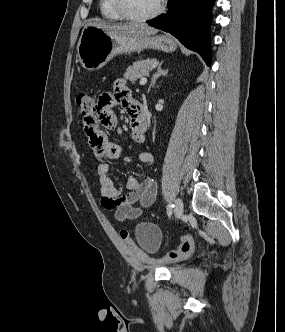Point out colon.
I'll use <instances>...</instances> for the list:
<instances>
[{
    "label": "colon",
    "mask_w": 285,
    "mask_h": 332,
    "mask_svg": "<svg viewBox=\"0 0 285 332\" xmlns=\"http://www.w3.org/2000/svg\"><path fill=\"white\" fill-rule=\"evenodd\" d=\"M95 94L82 93L76 97V106L79 113L83 116L84 111H90V107L94 106ZM102 96V95H101ZM121 238L127 242L134 254L143 262L147 263H169L186 258L192 251L193 243L188 236H184L177 249L170 251L164 257L158 260H152L131 238L129 231L121 230Z\"/></svg>",
    "instance_id": "1"
}]
</instances>
